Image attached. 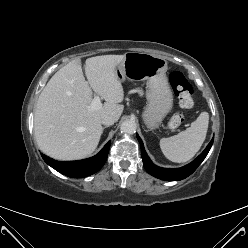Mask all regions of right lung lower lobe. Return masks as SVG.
I'll return each mask as SVG.
<instances>
[{"label": "right lung lower lobe", "instance_id": "obj_1", "mask_svg": "<svg viewBox=\"0 0 248 248\" xmlns=\"http://www.w3.org/2000/svg\"><path fill=\"white\" fill-rule=\"evenodd\" d=\"M110 148V141L93 157L78 161H55L42 155L44 161L58 172L73 178H81L99 171L106 162Z\"/></svg>", "mask_w": 248, "mask_h": 248}]
</instances>
